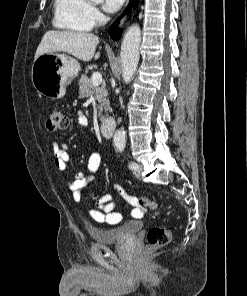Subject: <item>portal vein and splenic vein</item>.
Listing matches in <instances>:
<instances>
[{"label": "portal vein and splenic vein", "instance_id": "18ae733b", "mask_svg": "<svg viewBox=\"0 0 247 296\" xmlns=\"http://www.w3.org/2000/svg\"><path fill=\"white\" fill-rule=\"evenodd\" d=\"M102 83V75L99 72H94L92 74V78H91V84L92 86L96 87L99 86Z\"/></svg>", "mask_w": 247, "mask_h": 296}]
</instances>
